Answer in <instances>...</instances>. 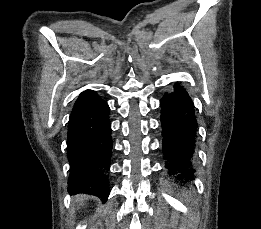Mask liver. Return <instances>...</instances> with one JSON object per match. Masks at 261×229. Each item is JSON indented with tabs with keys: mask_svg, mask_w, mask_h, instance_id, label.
I'll return each instance as SVG.
<instances>
[{
	"mask_svg": "<svg viewBox=\"0 0 261 229\" xmlns=\"http://www.w3.org/2000/svg\"><path fill=\"white\" fill-rule=\"evenodd\" d=\"M87 199L88 197H86V195H77V197H75V203H84Z\"/></svg>",
	"mask_w": 261,
	"mask_h": 229,
	"instance_id": "6515ba94",
	"label": "liver"
}]
</instances>
